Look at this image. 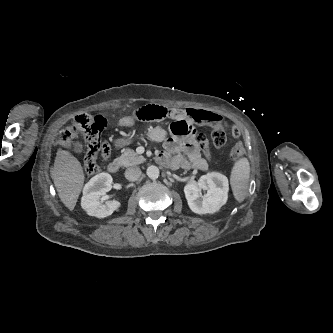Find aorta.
<instances>
[{"instance_id": "aorta-1", "label": "aorta", "mask_w": 333, "mask_h": 333, "mask_svg": "<svg viewBox=\"0 0 333 333\" xmlns=\"http://www.w3.org/2000/svg\"><path fill=\"white\" fill-rule=\"evenodd\" d=\"M146 174L150 179H157L159 177L160 172L158 167L151 165L147 168Z\"/></svg>"}]
</instances>
